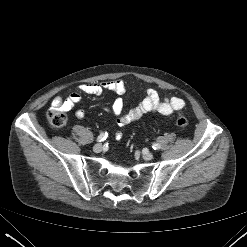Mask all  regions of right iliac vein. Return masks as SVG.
I'll return each instance as SVG.
<instances>
[{
	"mask_svg": "<svg viewBox=\"0 0 247 247\" xmlns=\"http://www.w3.org/2000/svg\"><path fill=\"white\" fill-rule=\"evenodd\" d=\"M102 149H103V146H102V144H100V143L96 144V145L93 147V151H94L95 153H100V152L102 151Z\"/></svg>",
	"mask_w": 247,
	"mask_h": 247,
	"instance_id": "obj_1",
	"label": "right iliac vein"
}]
</instances>
